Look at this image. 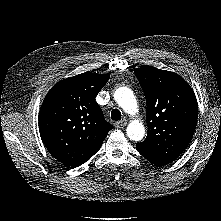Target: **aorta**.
I'll return each mask as SVG.
<instances>
[{
  "instance_id": "obj_1",
  "label": "aorta",
  "mask_w": 221,
  "mask_h": 221,
  "mask_svg": "<svg viewBox=\"0 0 221 221\" xmlns=\"http://www.w3.org/2000/svg\"><path fill=\"white\" fill-rule=\"evenodd\" d=\"M114 98L119 106L128 114L135 115L138 112L136 98L127 87H121L115 91ZM127 136L130 140L140 141L145 134V128L138 120H133L127 126Z\"/></svg>"
}]
</instances>
